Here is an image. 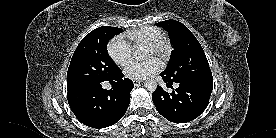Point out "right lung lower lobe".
I'll use <instances>...</instances> for the list:
<instances>
[{
  "instance_id": "right-lung-lower-lobe-1",
  "label": "right lung lower lobe",
  "mask_w": 276,
  "mask_h": 138,
  "mask_svg": "<svg viewBox=\"0 0 276 138\" xmlns=\"http://www.w3.org/2000/svg\"><path fill=\"white\" fill-rule=\"evenodd\" d=\"M123 76L120 70L105 80L114 84L110 90L102 88L103 81L68 89V102L76 118L93 128H105L119 121L129 106L134 88L133 82Z\"/></svg>"
}]
</instances>
